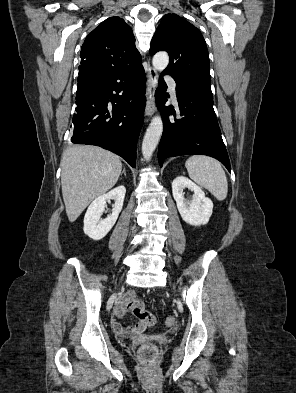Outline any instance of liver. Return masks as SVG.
I'll return each instance as SVG.
<instances>
[{"instance_id": "1", "label": "liver", "mask_w": 296, "mask_h": 393, "mask_svg": "<svg viewBox=\"0 0 296 393\" xmlns=\"http://www.w3.org/2000/svg\"><path fill=\"white\" fill-rule=\"evenodd\" d=\"M122 163L110 151L96 146L69 147L61 158L62 195L66 214L74 222L95 198L118 181Z\"/></svg>"}]
</instances>
